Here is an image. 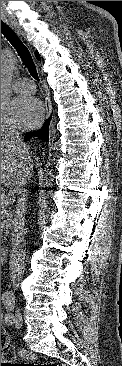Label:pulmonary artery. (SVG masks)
Segmentation results:
<instances>
[{
	"instance_id": "pulmonary-artery-1",
	"label": "pulmonary artery",
	"mask_w": 122,
	"mask_h": 366,
	"mask_svg": "<svg viewBox=\"0 0 122 366\" xmlns=\"http://www.w3.org/2000/svg\"><path fill=\"white\" fill-rule=\"evenodd\" d=\"M13 89L20 94H30L35 90L34 83L26 78H19L13 83Z\"/></svg>"
}]
</instances>
